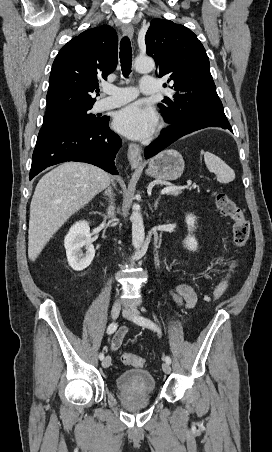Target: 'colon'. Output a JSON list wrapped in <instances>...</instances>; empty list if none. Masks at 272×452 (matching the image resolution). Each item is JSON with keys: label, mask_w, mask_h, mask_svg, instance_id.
Listing matches in <instances>:
<instances>
[{"label": "colon", "mask_w": 272, "mask_h": 452, "mask_svg": "<svg viewBox=\"0 0 272 452\" xmlns=\"http://www.w3.org/2000/svg\"><path fill=\"white\" fill-rule=\"evenodd\" d=\"M213 198L219 212L233 221V239L235 245L239 248L244 247L249 240L250 225L243 211L223 192H214ZM234 268L235 264L231 263L228 272L222 280L217 283L212 293L204 295L205 301L211 302L218 300L225 293L229 286ZM121 361L127 366L142 367L145 365V359L133 353H123L121 355Z\"/></svg>", "instance_id": "1"}]
</instances>
